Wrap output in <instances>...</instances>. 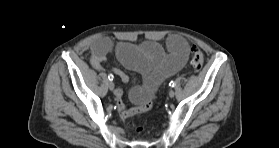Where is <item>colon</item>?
<instances>
[{
  "instance_id": "obj_1",
  "label": "colon",
  "mask_w": 279,
  "mask_h": 148,
  "mask_svg": "<svg viewBox=\"0 0 279 148\" xmlns=\"http://www.w3.org/2000/svg\"><path fill=\"white\" fill-rule=\"evenodd\" d=\"M203 63H204L203 53L200 51L199 48L193 46L191 49V59H190L191 67L195 72H199L203 66ZM137 130L140 131L141 128H138Z\"/></svg>"
}]
</instances>
